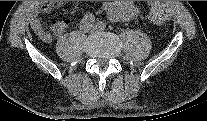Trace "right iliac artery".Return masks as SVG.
Segmentation results:
<instances>
[{
	"instance_id": "obj_1",
	"label": "right iliac artery",
	"mask_w": 207,
	"mask_h": 121,
	"mask_svg": "<svg viewBox=\"0 0 207 121\" xmlns=\"http://www.w3.org/2000/svg\"><path fill=\"white\" fill-rule=\"evenodd\" d=\"M84 19H85V21H87L89 23H95V21H96L95 16L92 13H86L84 15Z\"/></svg>"
}]
</instances>
